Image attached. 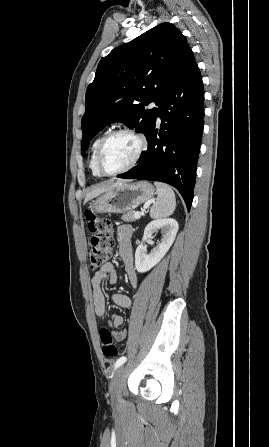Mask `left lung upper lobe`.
Instances as JSON below:
<instances>
[{
	"mask_svg": "<svg viewBox=\"0 0 269 447\" xmlns=\"http://www.w3.org/2000/svg\"><path fill=\"white\" fill-rule=\"evenodd\" d=\"M189 48L179 29L162 23L102 58L86 91L81 149L115 121L146 135L157 108L145 106L159 105Z\"/></svg>",
	"mask_w": 269,
	"mask_h": 447,
	"instance_id": "5c2ea615",
	"label": "left lung upper lobe"
}]
</instances>
